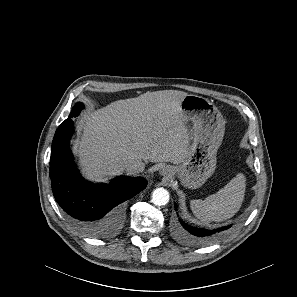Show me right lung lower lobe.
Listing matches in <instances>:
<instances>
[{
    "label": "right lung lower lobe",
    "instance_id": "obj_1",
    "mask_svg": "<svg viewBox=\"0 0 297 297\" xmlns=\"http://www.w3.org/2000/svg\"><path fill=\"white\" fill-rule=\"evenodd\" d=\"M69 116L56 130L51 147L53 195L74 225L90 237L110 235L121 224L120 204L147 186L144 178L120 176L110 184H93L79 174L69 148L74 123Z\"/></svg>",
    "mask_w": 297,
    "mask_h": 297
}]
</instances>
